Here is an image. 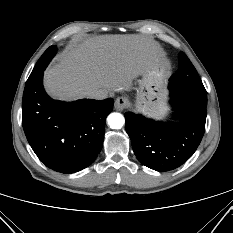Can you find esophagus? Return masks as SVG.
<instances>
[{
	"label": "esophagus",
	"instance_id": "1",
	"mask_svg": "<svg viewBox=\"0 0 233 233\" xmlns=\"http://www.w3.org/2000/svg\"><path fill=\"white\" fill-rule=\"evenodd\" d=\"M128 105V100L127 98L125 97H118L116 100H115V103H114V108L117 110V111H122L126 108V106Z\"/></svg>",
	"mask_w": 233,
	"mask_h": 233
}]
</instances>
